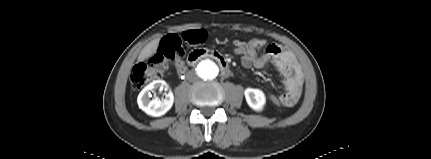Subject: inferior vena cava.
Returning a JSON list of instances; mask_svg holds the SVG:
<instances>
[{"label":"inferior vena cava","instance_id":"1","mask_svg":"<svg viewBox=\"0 0 431 159\" xmlns=\"http://www.w3.org/2000/svg\"><path fill=\"white\" fill-rule=\"evenodd\" d=\"M188 77H189V79H191V80H195V79H197V76L194 74V73H189L188 74Z\"/></svg>","mask_w":431,"mask_h":159}]
</instances>
